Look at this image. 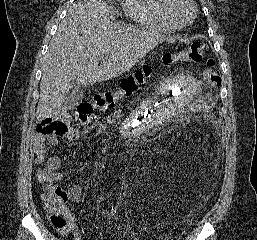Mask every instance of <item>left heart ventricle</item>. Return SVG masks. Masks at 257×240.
Returning a JSON list of instances; mask_svg holds the SVG:
<instances>
[{
  "instance_id": "obj_1",
  "label": "left heart ventricle",
  "mask_w": 257,
  "mask_h": 240,
  "mask_svg": "<svg viewBox=\"0 0 257 240\" xmlns=\"http://www.w3.org/2000/svg\"><path fill=\"white\" fill-rule=\"evenodd\" d=\"M169 12L178 23H186L192 14V7L188 0H170Z\"/></svg>"
}]
</instances>
